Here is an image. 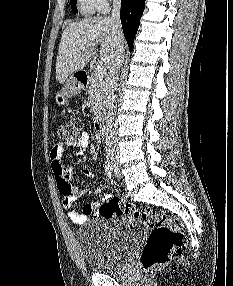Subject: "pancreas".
Here are the masks:
<instances>
[{"label":"pancreas","mask_w":233,"mask_h":286,"mask_svg":"<svg viewBox=\"0 0 233 286\" xmlns=\"http://www.w3.org/2000/svg\"><path fill=\"white\" fill-rule=\"evenodd\" d=\"M89 102L91 106V112L94 118L97 119L102 113L105 107L107 96V84L103 78L97 77L94 73H91L89 84Z\"/></svg>","instance_id":"obj_1"}]
</instances>
